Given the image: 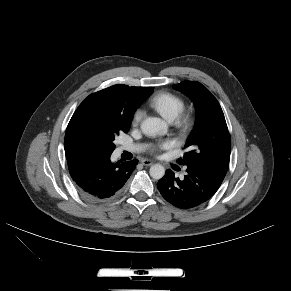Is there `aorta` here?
Masks as SVG:
<instances>
[{
	"label": "aorta",
	"instance_id": "762f6f07",
	"mask_svg": "<svg viewBox=\"0 0 291 291\" xmlns=\"http://www.w3.org/2000/svg\"><path fill=\"white\" fill-rule=\"evenodd\" d=\"M141 131L147 136L165 134L167 124L160 118L149 117L141 123ZM149 173L152 178L159 180L165 175V168L161 164H154L150 167Z\"/></svg>",
	"mask_w": 291,
	"mask_h": 291
}]
</instances>
